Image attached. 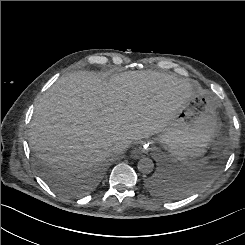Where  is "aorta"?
Returning <instances> with one entry per match:
<instances>
[{
	"instance_id": "1",
	"label": "aorta",
	"mask_w": 245,
	"mask_h": 245,
	"mask_svg": "<svg viewBox=\"0 0 245 245\" xmlns=\"http://www.w3.org/2000/svg\"><path fill=\"white\" fill-rule=\"evenodd\" d=\"M138 170L143 174H149L153 171L154 163L150 158H141L138 161Z\"/></svg>"
}]
</instances>
